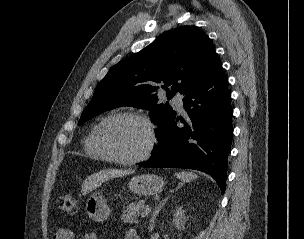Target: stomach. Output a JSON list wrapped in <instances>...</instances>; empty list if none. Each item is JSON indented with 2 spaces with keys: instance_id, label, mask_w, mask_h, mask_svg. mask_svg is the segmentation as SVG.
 I'll return each instance as SVG.
<instances>
[{
  "instance_id": "obj_1",
  "label": "stomach",
  "mask_w": 304,
  "mask_h": 239,
  "mask_svg": "<svg viewBox=\"0 0 304 239\" xmlns=\"http://www.w3.org/2000/svg\"><path fill=\"white\" fill-rule=\"evenodd\" d=\"M129 188L137 195H154L163 190L164 181L160 176L143 174L134 176L129 181ZM86 212L92 220L101 222L109 217L111 208L101 193L94 192L86 201Z\"/></svg>"
}]
</instances>
